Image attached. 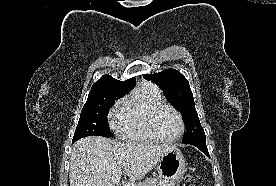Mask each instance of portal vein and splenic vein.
Listing matches in <instances>:
<instances>
[{
  "label": "portal vein and splenic vein",
  "mask_w": 276,
  "mask_h": 186,
  "mask_svg": "<svg viewBox=\"0 0 276 186\" xmlns=\"http://www.w3.org/2000/svg\"><path fill=\"white\" fill-rule=\"evenodd\" d=\"M112 181L118 185L119 181H120V175L116 174L113 176ZM124 186H137L136 184L133 183H126Z\"/></svg>",
  "instance_id": "portal-vein-and-splenic-vein-1"
}]
</instances>
